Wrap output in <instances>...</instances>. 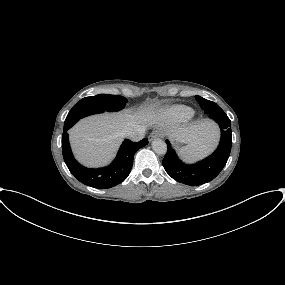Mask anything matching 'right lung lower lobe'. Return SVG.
Wrapping results in <instances>:
<instances>
[{
    "label": "right lung lower lobe",
    "mask_w": 285,
    "mask_h": 285,
    "mask_svg": "<svg viewBox=\"0 0 285 285\" xmlns=\"http://www.w3.org/2000/svg\"><path fill=\"white\" fill-rule=\"evenodd\" d=\"M147 144V139L139 142L126 139L115 160L109 166L92 169L86 168L76 161L70 148L67 130H63L62 134L63 158L70 172L81 183L99 189L111 188L123 182L131 171L135 152Z\"/></svg>",
    "instance_id": "1"
}]
</instances>
